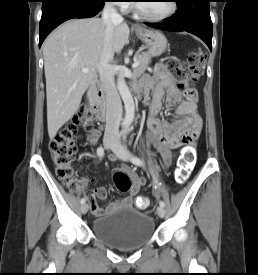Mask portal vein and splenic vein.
I'll list each match as a JSON object with an SVG mask.
<instances>
[{
    "instance_id": "portal-vein-and-splenic-vein-1",
    "label": "portal vein and splenic vein",
    "mask_w": 258,
    "mask_h": 275,
    "mask_svg": "<svg viewBox=\"0 0 258 275\" xmlns=\"http://www.w3.org/2000/svg\"><path fill=\"white\" fill-rule=\"evenodd\" d=\"M139 64V61L138 60H135L133 65H132V68H136ZM83 72H88V69L87 68H83L82 69Z\"/></svg>"
}]
</instances>
